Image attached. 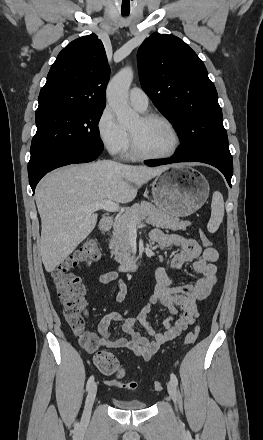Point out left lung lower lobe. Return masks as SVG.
<instances>
[{"mask_svg":"<svg viewBox=\"0 0 263 440\" xmlns=\"http://www.w3.org/2000/svg\"><path fill=\"white\" fill-rule=\"evenodd\" d=\"M203 162L210 164L217 169H219L225 176L228 184L231 187V177L233 175V160L231 154H216V155H210L202 158H196V159H188L184 156L179 155L176 153L174 157L166 160H150L146 161L145 164L148 166H158L162 164H171V163H177V162Z\"/></svg>","mask_w":263,"mask_h":440,"instance_id":"left-lung-lower-lobe-1","label":"left lung lower lobe"}]
</instances>
